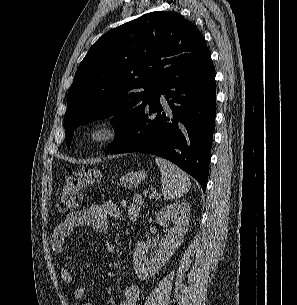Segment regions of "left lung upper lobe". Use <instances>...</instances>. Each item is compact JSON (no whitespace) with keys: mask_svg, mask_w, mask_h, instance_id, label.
Listing matches in <instances>:
<instances>
[{"mask_svg":"<svg viewBox=\"0 0 297 305\" xmlns=\"http://www.w3.org/2000/svg\"><path fill=\"white\" fill-rule=\"evenodd\" d=\"M211 64L202 34L176 12L147 13L109 31L89 49L68 90L67 147L80 125L111 118L117 137L110 149L161 86Z\"/></svg>","mask_w":297,"mask_h":305,"instance_id":"left-lung-upper-lobe-1","label":"left lung upper lobe"}]
</instances>
